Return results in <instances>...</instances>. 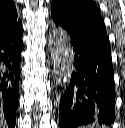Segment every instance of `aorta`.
<instances>
[{
	"label": "aorta",
	"instance_id": "762f6f07",
	"mask_svg": "<svg viewBox=\"0 0 125 128\" xmlns=\"http://www.w3.org/2000/svg\"><path fill=\"white\" fill-rule=\"evenodd\" d=\"M53 71L58 83L66 87L73 71V51L68 34L62 28H55L49 35Z\"/></svg>",
	"mask_w": 125,
	"mask_h": 128
}]
</instances>
